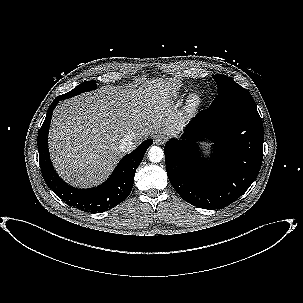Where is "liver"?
I'll list each match as a JSON object with an SVG mask.
<instances>
[{"label":"liver","mask_w":303,"mask_h":303,"mask_svg":"<svg viewBox=\"0 0 303 303\" xmlns=\"http://www.w3.org/2000/svg\"><path fill=\"white\" fill-rule=\"evenodd\" d=\"M179 87L177 80L152 79L135 88L105 86L62 102L49 133L59 175L73 185H96L123 157L119 145L127 134H134L135 147L150 134L175 136L188 118L172 100Z\"/></svg>","instance_id":"liver-1"}]
</instances>
